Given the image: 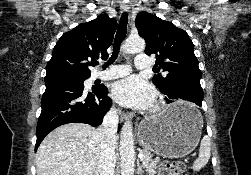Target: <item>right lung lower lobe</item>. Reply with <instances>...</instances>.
Returning <instances> with one entry per match:
<instances>
[{
	"instance_id": "1",
	"label": "right lung lower lobe",
	"mask_w": 251,
	"mask_h": 175,
	"mask_svg": "<svg viewBox=\"0 0 251 175\" xmlns=\"http://www.w3.org/2000/svg\"><path fill=\"white\" fill-rule=\"evenodd\" d=\"M42 111L37 124L35 151L44 137L56 127L73 122L98 126L111 106L108 89L100 85L84 91L82 82L52 80L45 82Z\"/></svg>"
}]
</instances>
